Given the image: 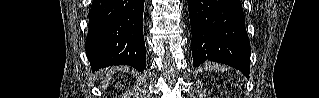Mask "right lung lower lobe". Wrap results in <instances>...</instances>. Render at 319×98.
Returning <instances> with one entry per match:
<instances>
[{"label": "right lung lower lobe", "mask_w": 319, "mask_h": 98, "mask_svg": "<svg viewBox=\"0 0 319 98\" xmlns=\"http://www.w3.org/2000/svg\"><path fill=\"white\" fill-rule=\"evenodd\" d=\"M144 0H93L86 55L93 71L113 65L146 68Z\"/></svg>", "instance_id": "obj_1"}]
</instances>
